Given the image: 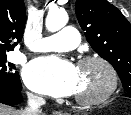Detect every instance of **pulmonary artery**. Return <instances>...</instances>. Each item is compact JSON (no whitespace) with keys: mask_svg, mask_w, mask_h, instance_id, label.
Returning a JSON list of instances; mask_svg holds the SVG:
<instances>
[{"mask_svg":"<svg viewBox=\"0 0 131 115\" xmlns=\"http://www.w3.org/2000/svg\"><path fill=\"white\" fill-rule=\"evenodd\" d=\"M79 33L73 27H65L59 32L40 39L32 50L37 52L69 51L79 43Z\"/></svg>","mask_w":131,"mask_h":115,"instance_id":"obj_1","label":"pulmonary artery"}]
</instances>
